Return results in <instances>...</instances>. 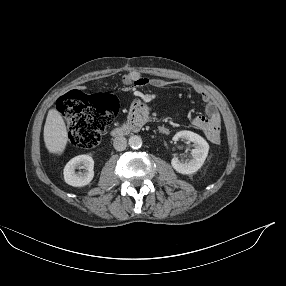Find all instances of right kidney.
I'll return each instance as SVG.
<instances>
[{
    "instance_id": "1",
    "label": "right kidney",
    "mask_w": 286,
    "mask_h": 286,
    "mask_svg": "<svg viewBox=\"0 0 286 286\" xmlns=\"http://www.w3.org/2000/svg\"><path fill=\"white\" fill-rule=\"evenodd\" d=\"M78 167L85 168L84 173H75ZM94 160L89 155H79L71 159L64 168V180L67 184L74 187L88 185L94 177Z\"/></svg>"
}]
</instances>
